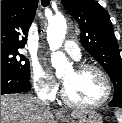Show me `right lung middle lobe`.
<instances>
[{
	"label": "right lung middle lobe",
	"mask_w": 122,
	"mask_h": 123,
	"mask_svg": "<svg viewBox=\"0 0 122 123\" xmlns=\"http://www.w3.org/2000/svg\"><path fill=\"white\" fill-rule=\"evenodd\" d=\"M1 67L30 78L29 60L18 50H1Z\"/></svg>",
	"instance_id": "right-lung-middle-lobe-1"
}]
</instances>
